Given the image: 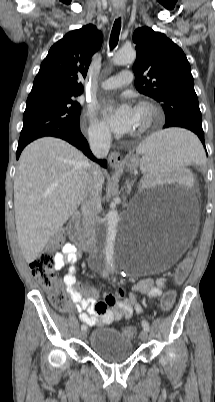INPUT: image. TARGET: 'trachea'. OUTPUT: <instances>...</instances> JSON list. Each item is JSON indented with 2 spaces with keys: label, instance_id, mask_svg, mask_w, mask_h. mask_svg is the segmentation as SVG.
<instances>
[{
  "label": "trachea",
  "instance_id": "obj_1",
  "mask_svg": "<svg viewBox=\"0 0 215 402\" xmlns=\"http://www.w3.org/2000/svg\"><path fill=\"white\" fill-rule=\"evenodd\" d=\"M120 29H121V18H118L115 20L112 31H111V36H110V48L111 49H114L118 43Z\"/></svg>",
  "mask_w": 215,
  "mask_h": 402
}]
</instances>
